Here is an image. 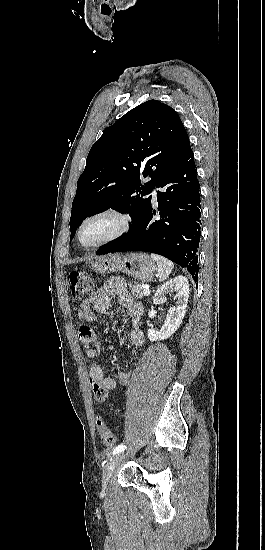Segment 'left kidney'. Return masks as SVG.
Masks as SVG:
<instances>
[{
  "mask_svg": "<svg viewBox=\"0 0 265 550\" xmlns=\"http://www.w3.org/2000/svg\"><path fill=\"white\" fill-rule=\"evenodd\" d=\"M171 291H176L175 305L168 310L167 320L160 331H155L153 328L148 329V338L151 342L164 340L172 336L180 327L184 318L189 298V282L182 275L160 286L153 297V303L155 305L165 304L167 302L166 294Z\"/></svg>",
  "mask_w": 265,
  "mask_h": 550,
  "instance_id": "1",
  "label": "left kidney"
}]
</instances>
